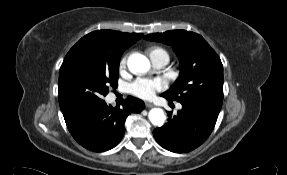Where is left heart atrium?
<instances>
[{
	"label": "left heart atrium",
	"instance_id": "left-heart-atrium-1",
	"mask_svg": "<svg viewBox=\"0 0 287 175\" xmlns=\"http://www.w3.org/2000/svg\"><path fill=\"white\" fill-rule=\"evenodd\" d=\"M164 88L165 83L160 78H137L130 84L129 91L139 98L149 99Z\"/></svg>",
	"mask_w": 287,
	"mask_h": 175
}]
</instances>
